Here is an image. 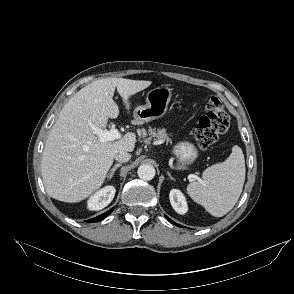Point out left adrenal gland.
I'll use <instances>...</instances> for the list:
<instances>
[{"label": "left adrenal gland", "instance_id": "1", "mask_svg": "<svg viewBox=\"0 0 294 294\" xmlns=\"http://www.w3.org/2000/svg\"><path fill=\"white\" fill-rule=\"evenodd\" d=\"M167 174H168V176H169V178H170L171 180H175V179L171 176V174H170L169 172H167Z\"/></svg>", "mask_w": 294, "mask_h": 294}]
</instances>
